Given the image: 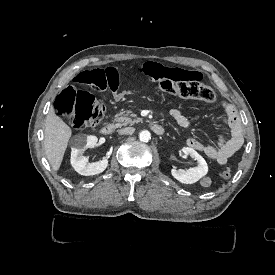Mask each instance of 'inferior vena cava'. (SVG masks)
Returning a JSON list of instances; mask_svg holds the SVG:
<instances>
[{
    "instance_id": "1",
    "label": "inferior vena cava",
    "mask_w": 275,
    "mask_h": 275,
    "mask_svg": "<svg viewBox=\"0 0 275 275\" xmlns=\"http://www.w3.org/2000/svg\"><path fill=\"white\" fill-rule=\"evenodd\" d=\"M135 132V128L134 127H126V128H122L120 130H118V133L120 135H124V134H133Z\"/></svg>"
}]
</instances>
